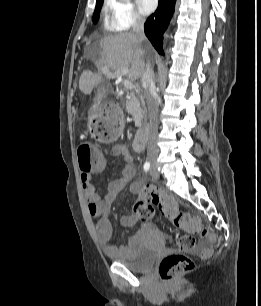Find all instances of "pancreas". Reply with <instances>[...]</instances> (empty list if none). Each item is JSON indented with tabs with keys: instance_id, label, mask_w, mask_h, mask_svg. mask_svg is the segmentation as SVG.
<instances>
[{
	"instance_id": "pancreas-1",
	"label": "pancreas",
	"mask_w": 261,
	"mask_h": 306,
	"mask_svg": "<svg viewBox=\"0 0 261 306\" xmlns=\"http://www.w3.org/2000/svg\"><path fill=\"white\" fill-rule=\"evenodd\" d=\"M126 111L132 115L136 126H141L145 117V102L143 95L130 90L126 100Z\"/></svg>"
}]
</instances>
